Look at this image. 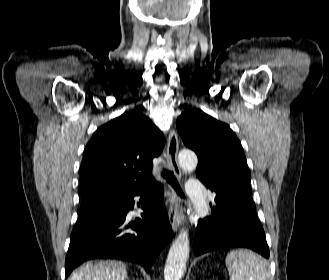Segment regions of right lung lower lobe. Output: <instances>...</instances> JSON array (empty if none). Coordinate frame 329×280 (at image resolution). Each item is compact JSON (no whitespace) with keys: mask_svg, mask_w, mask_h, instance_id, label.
<instances>
[{"mask_svg":"<svg viewBox=\"0 0 329 280\" xmlns=\"http://www.w3.org/2000/svg\"><path fill=\"white\" fill-rule=\"evenodd\" d=\"M138 195L144 213L142 219L129 222L126 215L133 209V198ZM171 239L163 190L155 182L101 193L81 205L70 237L65 277L84 261L96 258L127 260L150 271Z\"/></svg>","mask_w":329,"mask_h":280,"instance_id":"right-lung-lower-lobe-1","label":"right lung lower lobe"}]
</instances>
